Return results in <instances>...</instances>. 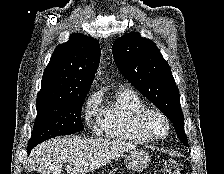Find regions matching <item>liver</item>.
Returning <instances> with one entry per match:
<instances>
[{
  "mask_svg": "<svg viewBox=\"0 0 224 174\" xmlns=\"http://www.w3.org/2000/svg\"><path fill=\"white\" fill-rule=\"evenodd\" d=\"M136 148V145L107 139L75 136L57 137L35 147L29 158L28 170L42 174H86Z\"/></svg>",
  "mask_w": 224,
  "mask_h": 174,
  "instance_id": "1",
  "label": "liver"
}]
</instances>
